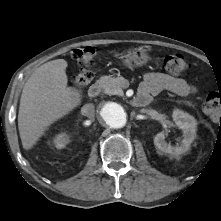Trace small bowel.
<instances>
[{"label": "small bowel", "mask_w": 221, "mask_h": 221, "mask_svg": "<svg viewBox=\"0 0 221 221\" xmlns=\"http://www.w3.org/2000/svg\"><path fill=\"white\" fill-rule=\"evenodd\" d=\"M162 90L186 96L195 93L196 87L183 78L165 73L149 72L144 75L143 82L140 85V93L154 96Z\"/></svg>", "instance_id": "obj_1"}]
</instances>
